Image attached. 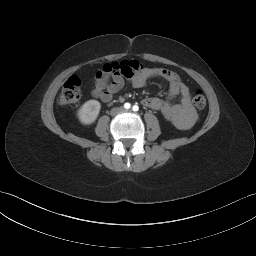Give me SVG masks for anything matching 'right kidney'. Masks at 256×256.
I'll use <instances>...</instances> for the list:
<instances>
[{"mask_svg":"<svg viewBox=\"0 0 256 256\" xmlns=\"http://www.w3.org/2000/svg\"><path fill=\"white\" fill-rule=\"evenodd\" d=\"M101 104L97 100H88L77 112L79 121L84 125L92 124L98 117Z\"/></svg>","mask_w":256,"mask_h":256,"instance_id":"right-kidney-1","label":"right kidney"}]
</instances>
